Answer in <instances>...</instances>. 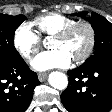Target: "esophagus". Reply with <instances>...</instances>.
Listing matches in <instances>:
<instances>
[{
  "label": "esophagus",
  "mask_w": 112,
  "mask_h": 112,
  "mask_svg": "<svg viewBox=\"0 0 112 112\" xmlns=\"http://www.w3.org/2000/svg\"><path fill=\"white\" fill-rule=\"evenodd\" d=\"M38 79H39L40 82L45 81L47 79V73H40L38 75Z\"/></svg>",
  "instance_id": "obj_1"
}]
</instances>
